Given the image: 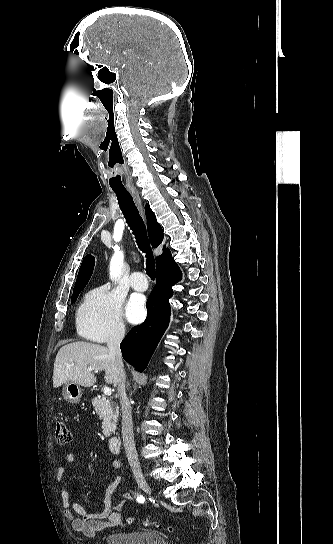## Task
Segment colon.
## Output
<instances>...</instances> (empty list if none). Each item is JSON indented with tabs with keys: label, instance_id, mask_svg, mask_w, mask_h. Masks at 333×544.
Instances as JSON below:
<instances>
[{
	"label": "colon",
	"instance_id": "obj_1",
	"mask_svg": "<svg viewBox=\"0 0 333 544\" xmlns=\"http://www.w3.org/2000/svg\"><path fill=\"white\" fill-rule=\"evenodd\" d=\"M55 438H56V442L59 445H67L72 440V435H71V432H70L69 428L61 420H58L55 423ZM128 521L133 522V521H135V519L130 517V518H128ZM142 524L145 525V526L161 527L157 522H154V521H151V520H143Z\"/></svg>",
	"mask_w": 333,
	"mask_h": 544
}]
</instances>
